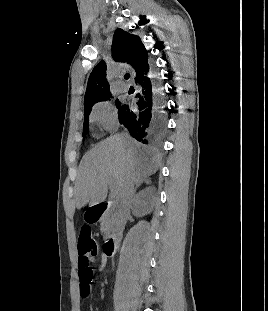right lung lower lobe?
<instances>
[{
    "label": "right lung lower lobe",
    "mask_w": 268,
    "mask_h": 311,
    "mask_svg": "<svg viewBox=\"0 0 268 311\" xmlns=\"http://www.w3.org/2000/svg\"><path fill=\"white\" fill-rule=\"evenodd\" d=\"M148 72L149 64L135 78L139 87L136 109L124 104L118 110L120 124L145 145L158 142L166 131L165 101L158 91L159 85L154 78L148 77Z\"/></svg>",
    "instance_id": "98d812e1"
}]
</instances>
